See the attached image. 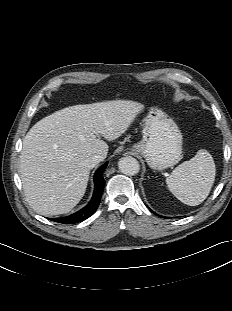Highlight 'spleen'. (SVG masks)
Listing matches in <instances>:
<instances>
[{
	"label": "spleen",
	"instance_id": "obj_1",
	"mask_svg": "<svg viewBox=\"0 0 232 311\" xmlns=\"http://www.w3.org/2000/svg\"><path fill=\"white\" fill-rule=\"evenodd\" d=\"M215 163L206 150L177 166L166 178L169 190L184 204L196 206L209 195L215 180Z\"/></svg>",
	"mask_w": 232,
	"mask_h": 311
}]
</instances>
